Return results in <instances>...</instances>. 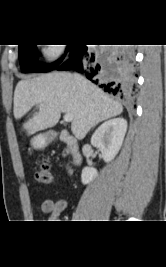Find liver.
Returning <instances> with one entry per match:
<instances>
[{
	"label": "liver",
	"mask_w": 166,
	"mask_h": 267,
	"mask_svg": "<svg viewBox=\"0 0 166 267\" xmlns=\"http://www.w3.org/2000/svg\"><path fill=\"white\" fill-rule=\"evenodd\" d=\"M80 77V76H79ZM39 111L23 128L27 135L54 127L61 113L73 114L71 130L84 138L91 127L120 115L122 105L87 79L66 72H53L18 82L14 92V117L22 118L33 106Z\"/></svg>",
	"instance_id": "obj_1"
}]
</instances>
